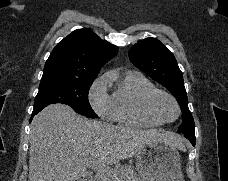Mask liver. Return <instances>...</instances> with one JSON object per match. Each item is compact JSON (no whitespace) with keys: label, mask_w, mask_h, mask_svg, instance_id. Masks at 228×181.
<instances>
[{"label":"liver","mask_w":228,"mask_h":181,"mask_svg":"<svg viewBox=\"0 0 228 181\" xmlns=\"http://www.w3.org/2000/svg\"><path fill=\"white\" fill-rule=\"evenodd\" d=\"M30 129L28 181H80L88 161L116 165L134 157L150 141H163L185 151L182 139L174 133L86 121L61 103L45 107Z\"/></svg>","instance_id":"obj_1"}]
</instances>
